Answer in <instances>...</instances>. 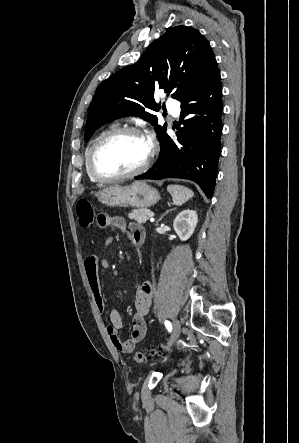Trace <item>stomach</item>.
Returning a JSON list of instances; mask_svg holds the SVG:
<instances>
[{
	"mask_svg": "<svg viewBox=\"0 0 299 443\" xmlns=\"http://www.w3.org/2000/svg\"><path fill=\"white\" fill-rule=\"evenodd\" d=\"M100 203L109 207L132 206L147 208L158 202L160 194L144 181L129 186L110 185L96 194Z\"/></svg>",
	"mask_w": 299,
	"mask_h": 443,
	"instance_id": "1",
	"label": "stomach"
}]
</instances>
